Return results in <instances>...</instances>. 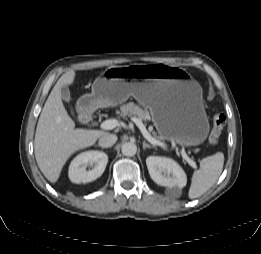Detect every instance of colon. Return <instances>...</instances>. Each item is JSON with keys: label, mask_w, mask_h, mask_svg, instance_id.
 I'll return each instance as SVG.
<instances>
[{"label": "colon", "mask_w": 261, "mask_h": 254, "mask_svg": "<svg viewBox=\"0 0 261 254\" xmlns=\"http://www.w3.org/2000/svg\"><path fill=\"white\" fill-rule=\"evenodd\" d=\"M226 123V117L221 114L217 113L213 117V127L209 136V144L216 145L219 141L221 133Z\"/></svg>", "instance_id": "colon-1"}]
</instances>
